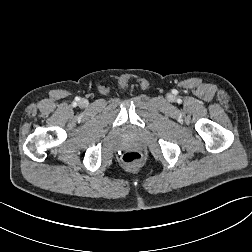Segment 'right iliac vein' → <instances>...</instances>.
<instances>
[{
	"label": "right iliac vein",
	"instance_id": "1",
	"mask_svg": "<svg viewBox=\"0 0 252 252\" xmlns=\"http://www.w3.org/2000/svg\"><path fill=\"white\" fill-rule=\"evenodd\" d=\"M80 105H81V106H86V105H87V101H86V100H84V99H83V100H81Z\"/></svg>",
	"mask_w": 252,
	"mask_h": 252
}]
</instances>
